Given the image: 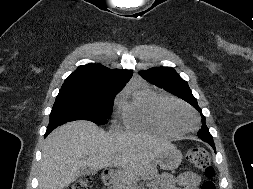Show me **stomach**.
Segmentation results:
<instances>
[{
    "instance_id": "1",
    "label": "stomach",
    "mask_w": 253,
    "mask_h": 189,
    "mask_svg": "<svg viewBox=\"0 0 253 189\" xmlns=\"http://www.w3.org/2000/svg\"><path fill=\"white\" fill-rule=\"evenodd\" d=\"M182 153L176 147L164 151L156 158V163L164 170L176 169L182 161Z\"/></svg>"
}]
</instances>
